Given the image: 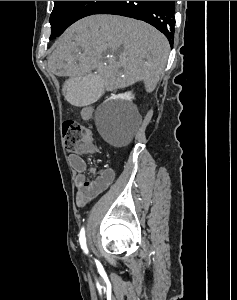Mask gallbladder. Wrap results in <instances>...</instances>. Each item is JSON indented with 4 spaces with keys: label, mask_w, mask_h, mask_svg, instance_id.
I'll return each mask as SVG.
<instances>
[{
    "label": "gallbladder",
    "mask_w": 237,
    "mask_h": 300,
    "mask_svg": "<svg viewBox=\"0 0 237 300\" xmlns=\"http://www.w3.org/2000/svg\"><path fill=\"white\" fill-rule=\"evenodd\" d=\"M104 76L99 72H88V76H68L65 82L64 99L68 105H94L100 94H105Z\"/></svg>",
    "instance_id": "1"
}]
</instances>
